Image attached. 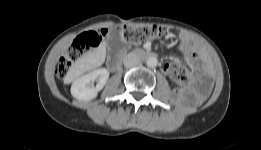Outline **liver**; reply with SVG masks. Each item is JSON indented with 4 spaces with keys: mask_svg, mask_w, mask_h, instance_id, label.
Masks as SVG:
<instances>
[{
    "mask_svg": "<svg viewBox=\"0 0 261 150\" xmlns=\"http://www.w3.org/2000/svg\"><path fill=\"white\" fill-rule=\"evenodd\" d=\"M106 57V43L103 42L95 51L87 54L79 60L77 70L79 73H84L91 69L101 66Z\"/></svg>",
    "mask_w": 261,
    "mask_h": 150,
    "instance_id": "1",
    "label": "liver"
}]
</instances>
